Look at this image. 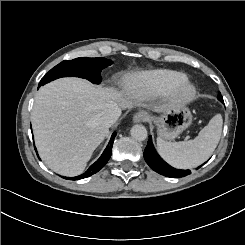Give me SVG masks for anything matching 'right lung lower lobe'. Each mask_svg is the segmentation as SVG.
<instances>
[{"mask_svg":"<svg viewBox=\"0 0 245 245\" xmlns=\"http://www.w3.org/2000/svg\"><path fill=\"white\" fill-rule=\"evenodd\" d=\"M116 135H117V133L114 132L112 137H111V141L109 142L108 146L104 150L101 157L93 165H91L85 173H83L82 175H79L77 177H73V178H68V177H63V178L70 179V180H79V179L90 177L91 175L97 173L100 169H102L106 165L108 160L110 159V156L112 154V146H113V142H114V137Z\"/></svg>","mask_w":245,"mask_h":245,"instance_id":"right-lung-lower-lobe-1","label":"right lung lower lobe"}]
</instances>
